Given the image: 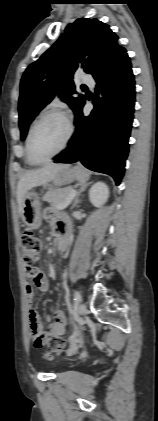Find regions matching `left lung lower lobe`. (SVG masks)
I'll list each match as a JSON object with an SVG mask.
<instances>
[{
  "instance_id": "0a47b994",
  "label": "left lung lower lobe",
  "mask_w": 158,
  "mask_h": 421,
  "mask_svg": "<svg viewBox=\"0 0 158 421\" xmlns=\"http://www.w3.org/2000/svg\"><path fill=\"white\" fill-rule=\"evenodd\" d=\"M97 82L94 109L75 115L76 131L55 163L80 161L90 170L112 176L117 185L124 174L133 121L135 81L126 50L119 47L94 76ZM85 104V103H84ZM83 107V106H82Z\"/></svg>"
}]
</instances>
